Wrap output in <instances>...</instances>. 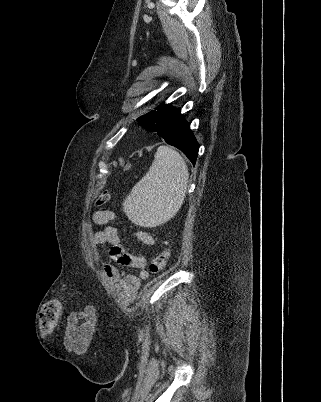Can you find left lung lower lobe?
<instances>
[{"instance_id": "1", "label": "left lung lower lobe", "mask_w": 321, "mask_h": 402, "mask_svg": "<svg viewBox=\"0 0 321 402\" xmlns=\"http://www.w3.org/2000/svg\"><path fill=\"white\" fill-rule=\"evenodd\" d=\"M166 143L180 149L195 165L199 144L180 109L162 104L156 122V131Z\"/></svg>"}]
</instances>
